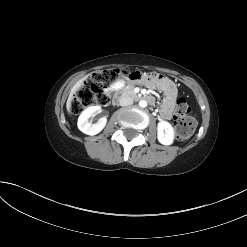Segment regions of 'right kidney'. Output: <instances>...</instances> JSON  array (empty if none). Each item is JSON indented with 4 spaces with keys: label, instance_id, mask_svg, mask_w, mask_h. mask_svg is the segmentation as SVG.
Wrapping results in <instances>:
<instances>
[{
    "label": "right kidney",
    "instance_id": "obj_1",
    "mask_svg": "<svg viewBox=\"0 0 247 247\" xmlns=\"http://www.w3.org/2000/svg\"><path fill=\"white\" fill-rule=\"evenodd\" d=\"M100 111V106H91L85 109L78 118V129L81 132L91 136L100 133L107 123V118L102 117L95 124H91V122L88 121L92 115L99 113Z\"/></svg>",
    "mask_w": 247,
    "mask_h": 247
}]
</instances>
